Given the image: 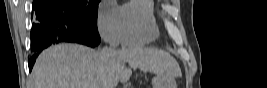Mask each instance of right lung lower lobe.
Listing matches in <instances>:
<instances>
[{
  "mask_svg": "<svg viewBox=\"0 0 267 88\" xmlns=\"http://www.w3.org/2000/svg\"><path fill=\"white\" fill-rule=\"evenodd\" d=\"M33 8L35 23L31 30V50L34 55L58 42H77L91 47L100 43L96 25L76 18L64 8L48 0H37ZM34 62L35 59L29 62V71Z\"/></svg>",
  "mask_w": 267,
  "mask_h": 88,
  "instance_id": "obj_1",
  "label": "right lung lower lobe"
}]
</instances>
